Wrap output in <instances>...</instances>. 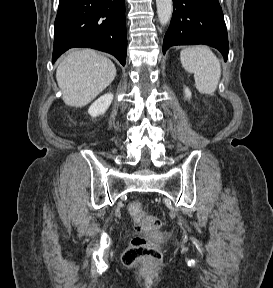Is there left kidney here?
Segmentation results:
<instances>
[{"label": "left kidney", "mask_w": 273, "mask_h": 288, "mask_svg": "<svg viewBox=\"0 0 273 288\" xmlns=\"http://www.w3.org/2000/svg\"><path fill=\"white\" fill-rule=\"evenodd\" d=\"M185 95L186 97L190 98L191 97V91L188 88H185Z\"/></svg>", "instance_id": "1"}]
</instances>
